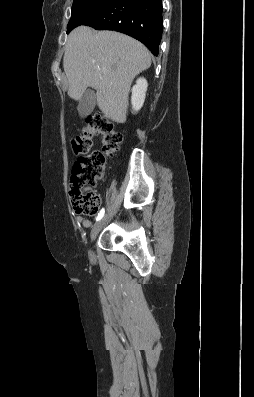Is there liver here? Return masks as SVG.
<instances>
[{
  "mask_svg": "<svg viewBox=\"0 0 254 397\" xmlns=\"http://www.w3.org/2000/svg\"><path fill=\"white\" fill-rule=\"evenodd\" d=\"M150 66L151 55L140 42L122 33L87 26L69 34L63 58L69 96L78 100L87 87L94 88L99 109L117 123L126 121L134 78Z\"/></svg>",
  "mask_w": 254,
  "mask_h": 397,
  "instance_id": "1",
  "label": "liver"
}]
</instances>
